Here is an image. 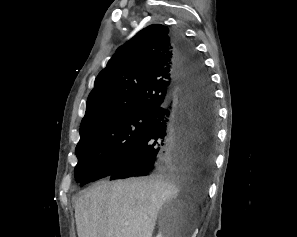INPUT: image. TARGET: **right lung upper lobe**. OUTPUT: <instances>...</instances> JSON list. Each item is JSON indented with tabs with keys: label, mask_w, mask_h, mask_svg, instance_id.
<instances>
[{
	"label": "right lung upper lobe",
	"mask_w": 297,
	"mask_h": 237,
	"mask_svg": "<svg viewBox=\"0 0 297 237\" xmlns=\"http://www.w3.org/2000/svg\"><path fill=\"white\" fill-rule=\"evenodd\" d=\"M173 33L161 24L141 30L119 47L95 79L80 125L136 112H155L169 103L180 82L174 71Z\"/></svg>",
	"instance_id": "right-lung-upper-lobe-1"
}]
</instances>
